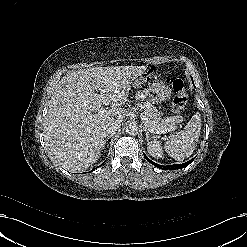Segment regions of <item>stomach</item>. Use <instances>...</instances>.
<instances>
[{
  "label": "stomach",
  "mask_w": 247,
  "mask_h": 247,
  "mask_svg": "<svg viewBox=\"0 0 247 247\" xmlns=\"http://www.w3.org/2000/svg\"><path fill=\"white\" fill-rule=\"evenodd\" d=\"M144 83L143 74L139 79H136L132 86L139 87ZM172 94V90L164 82L152 83L148 88L142 90L137 94V99L148 103H160L162 101L169 100Z\"/></svg>",
  "instance_id": "0dacf381"
}]
</instances>
